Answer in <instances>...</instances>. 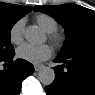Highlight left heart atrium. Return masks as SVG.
<instances>
[{
	"label": "left heart atrium",
	"mask_w": 95,
	"mask_h": 95,
	"mask_svg": "<svg viewBox=\"0 0 95 95\" xmlns=\"http://www.w3.org/2000/svg\"><path fill=\"white\" fill-rule=\"evenodd\" d=\"M52 54L49 45L43 44L35 46L32 44H24L17 49V56L30 63L38 64L48 59Z\"/></svg>",
	"instance_id": "obj_1"
}]
</instances>
